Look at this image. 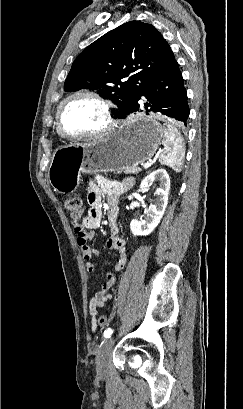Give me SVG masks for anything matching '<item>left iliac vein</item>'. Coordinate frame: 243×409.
I'll use <instances>...</instances> for the list:
<instances>
[{
  "instance_id": "left-iliac-vein-1",
  "label": "left iliac vein",
  "mask_w": 243,
  "mask_h": 409,
  "mask_svg": "<svg viewBox=\"0 0 243 409\" xmlns=\"http://www.w3.org/2000/svg\"><path fill=\"white\" fill-rule=\"evenodd\" d=\"M114 345V339L113 338H109L107 339L98 356H97V361H96V371H97V376L99 378H102L105 376L106 372H107V368H108V358L109 355L111 353L112 347Z\"/></svg>"
}]
</instances>
